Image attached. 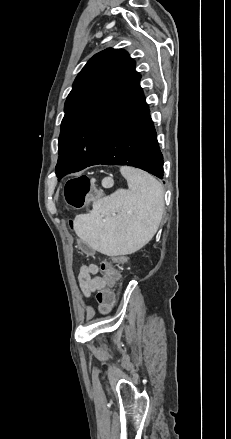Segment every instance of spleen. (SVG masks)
<instances>
[{"label": "spleen", "mask_w": 231, "mask_h": 439, "mask_svg": "<svg viewBox=\"0 0 231 439\" xmlns=\"http://www.w3.org/2000/svg\"><path fill=\"white\" fill-rule=\"evenodd\" d=\"M129 189H118L97 200L87 214L74 220L76 234L107 255L131 254L156 234L164 212L162 184L152 175L121 167Z\"/></svg>", "instance_id": "1"}]
</instances>
